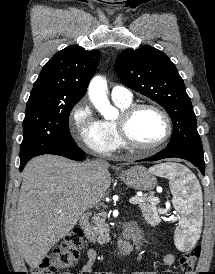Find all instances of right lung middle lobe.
<instances>
[{
	"label": "right lung middle lobe",
	"instance_id": "dd1d6c3e",
	"mask_svg": "<svg viewBox=\"0 0 215 274\" xmlns=\"http://www.w3.org/2000/svg\"><path fill=\"white\" fill-rule=\"evenodd\" d=\"M76 102H28L23 121L20 159L77 146L69 131V115Z\"/></svg>",
	"mask_w": 215,
	"mask_h": 274
}]
</instances>
